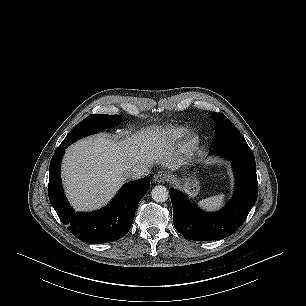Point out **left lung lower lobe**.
I'll return each instance as SVG.
<instances>
[{"label": "left lung lower lobe", "mask_w": 306, "mask_h": 306, "mask_svg": "<svg viewBox=\"0 0 306 306\" xmlns=\"http://www.w3.org/2000/svg\"><path fill=\"white\" fill-rule=\"evenodd\" d=\"M211 153L231 160L235 192L225 208L215 213H205L182 193L170 190L174 226L191 240H219L233 234L246 219L258 195L255 158L247 143L221 145L212 149Z\"/></svg>", "instance_id": "obj_1"}]
</instances>
